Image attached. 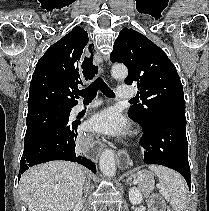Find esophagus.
<instances>
[{"instance_id": "obj_1", "label": "esophagus", "mask_w": 209, "mask_h": 211, "mask_svg": "<svg viewBox=\"0 0 209 211\" xmlns=\"http://www.w3.org/2000/svg\"><path fill=\"white\" fill-rule=\"evenodd\" d=\"M90 52H85V59H81L79 68L81 70L82 79H95L97 75V64L102 62L101 56H98V52H95V45H88ZM97 62V64H96ZM89 133H80L77 140V148L84 149L87 159H96L98 152L105 151V144H92V140H89ZM119 167H128L129 159L127 158V152L123 151L122 154H117Z\"/></svg>"}]
</instances>
